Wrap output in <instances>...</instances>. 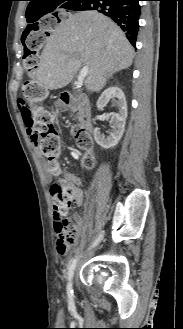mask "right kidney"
I'll use <instances>...</instances> for the list:
<instances>
[{"instance_id": "obj_1", "label": "right kidney", "mask_w": 183, "mask_h": 329, "mask_svg": "<svg viewBox=\"0 0 183 329\" xmlns=\"http://www.w3.org/2000/svg\"><path fill=\"white\" fill-rule=\"evenodd\" d=\"M117 99V100H116ZM116 101L118 106L117 113H111L110 125L112 132L105 136L100 132L99 128L94 129V139L98 145L104 149H110L118 144L123 136L127 118V102L123 91L119 87H109L99 97L97 107L103 109L109 101Z\"/></svg>"}]
</instances>
